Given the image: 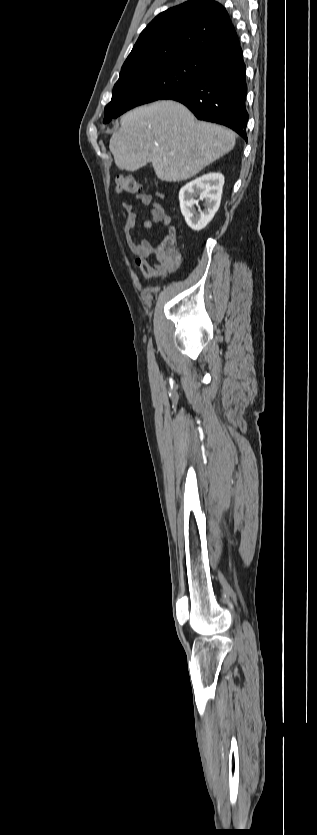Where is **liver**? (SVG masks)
Instances as JSON below:
<instances>
[{"mask_svg":"<svg viewBox=\"0 0 317 835\" xmlns=\"http://www.w3.org/2000/svg\"><path fill=\"white\" fill-rule=\"evenodd\" d=\"M235 139L232 130L199 122L184 105L162 100L124 114L109 148L118 168L135 171L151 162L160 180L175 182L232 150Z\"/></svg>","mask_w":317,"mask_h":835,"instance_id":"liver-1","label":"liver"}]
</instances>
